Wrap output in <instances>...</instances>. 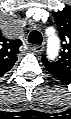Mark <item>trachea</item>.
<instances>
[{"label": "trachea", "instance_id": "3493384b", "mask_svg": "<svg viewBox=\"0 0 71 119\" xmlns=\"http://www.w3.org/2000/svg\"><path fill=\"white\" fill-rule=\"evenodd\" d=\"M42 40V34L37 30H33L28 36V42L32 44L40 45L42 44Z\"/></svg>", "mask_w": 71, "mask_h": 119}]
</instances>
